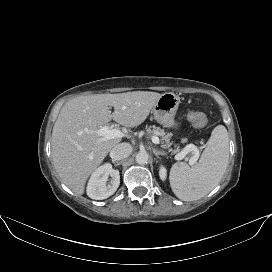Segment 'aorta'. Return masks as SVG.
Here are the masks:
<instances>
[{
  "label": "aorta",
  "instance_id": "obj_1",
  "mask_svg": "<svg viewBox=\"0 0 272 272\" xmlns=\"http://www.w3.org/2000/svg\"><path fill=\"white\" fill-rule=\"evenodd\" d=\"M136 162L140 165H144L148 162L149 155L146 151H140L136 155Z\"/></svg>",
  "mask_w": 272,
  "mask_h": 272
}]
</instances>
